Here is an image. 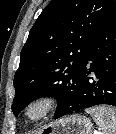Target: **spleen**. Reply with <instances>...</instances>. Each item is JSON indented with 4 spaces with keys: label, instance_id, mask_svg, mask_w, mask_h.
<instances>
[{
    "label": "spleen",
    "instance_id": "1",
    "mask_svg": "<svg viewBox=\"0 0 116 134\" xmlns=\"http://www.w3.org/2000/svg\"><path fill=\"white\" fill-rule=\"evenodd\" d=\"M99 125L101 134H116V109L111 106H96L86 109Z\"/></svg>",
    "mask_w": 116,
    "mask_h": 134
}]
</instances>
